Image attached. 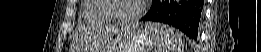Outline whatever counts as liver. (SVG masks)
Returning a JSON list of instances; mask_svg holds the SVG:
<instances>
[{
    "instance_id": "1",
    "label": "liver",
    "mask_w": 261,
    "mask_h": 52,
    "mask_svg": "<svg viewBox=\"0 0 261 52\" xmlns=\"http://www.w3.org/2000/svg\"><path fill=\"white\" fill-rule=\"evenodd\" d=\"M130 30L129 27H126ZM120 31L112 29L111 31H108L106 33H104L103 35V42L102 45L100 47V49L102 50H106V49H110V48H115V44H116V39L117 36L119 35Z\"/></svg>"
}]
</instances>
